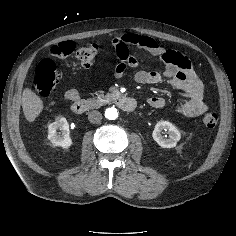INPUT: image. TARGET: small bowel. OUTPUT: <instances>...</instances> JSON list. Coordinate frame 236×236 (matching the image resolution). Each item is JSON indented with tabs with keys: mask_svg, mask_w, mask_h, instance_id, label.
I'll use <instances>...</instances> for the list:
<instances>
[{
	"mask_svg": "<svg viewBox=\"0 0 236 236\" xmlns=\"http://www.w3.org/2000/svg\"><path fill=\"white\" fill-rule=\"evenodd\" d=\"M119 63L114 75L120 78L129 67L138 65L137 58L130 52L131 46L141 48L150 54L157 56L164 64L163 72L138 70L134 74V80L139 84L167 83L182 90L186 98L177 107V112L185 117H197L207 111L208 106L204 101V87L195 73L191 62L183 54L167 50L160 46L153 38L135 33H127L113 40ZM67 101L74 102L79 99V93L75 89H69L64 93ZM148 104L154 108H162L166 105L164 98L153 96L148 98Z\"/></svg>",
	"mask_w": 236,
	"mask_h": 236,
	"instance_id": "1",
	"label": "small bowel"
}]
</instances>
